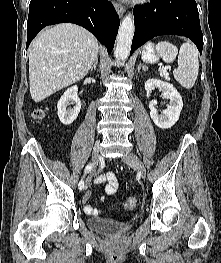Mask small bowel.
Instances as JSON below:
<instances>
[{
    "instance_id": "1",
    "label": "small bowel",
    "mask_w": 221,
    "mask_h": 263,
    "mask_svg": "<svg viewBox=\"0 0 221 263\" xmlns=\"http://www.w3.org/2000/svg\"><path fill=\"white\" fill-rule=\"evenodd\" d=\"M94 182L99 185H104V192L106 195H113L116 193L118 188V180L114 173L106 172L95 177ZM91 193L87 192L83 197V202L85 204V210L88 213L95 214L98 212V209L93 207L88 203ZM103 199V198H102Z\"/></svg>"
}]
</instances>
